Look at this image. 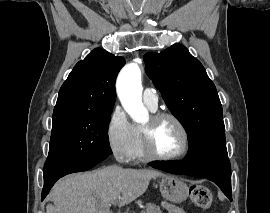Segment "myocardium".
I'll return each mask as SVG.
<instances>
[{
	"label": "myocardium",
	"mask_w": 270,
	"mask_h": 213,
	"mask_svg": "<svg viewBox=\"0 0 270 213\" xmlns=\"http://www.w3.org/2000/svg\"><path fill=\"white\" fill-rule=\"evenodd\" d=\"M163 119H171L179 128L183 136V147L180 152L174 155H161L157 153L153 148L152 133L154 126ZM140 136L142 142V148L147 159L158 161H177L183 159L190 149V136L189 132L181 121V119L175 114L167 111L154 112L150 116V124L147 127L140 128Z\"/></svg>",
	"instance_id": "1"
}]
</instances>
